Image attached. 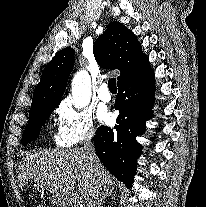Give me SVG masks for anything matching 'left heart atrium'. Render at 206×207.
I'll return each mask as SVG.
<instances>
[{
	"label": "left heart atrium",
	"mask_w": 206,
	"mask_h": 207,
	"mask_svg": "<svg viewBox=\"0 0 206 207\" xmlns=\"http://www.w3.org/2000/svg\"><path fill=\"white\" fill-rule=\"evenodd\" d=\"M101 119H102L103 121H105V122H108L109 119H110V116H109V114L104 113V114L102 115Z\"/></svg>",
	"instance_id": "39dd6f15"
}]
</instances>
